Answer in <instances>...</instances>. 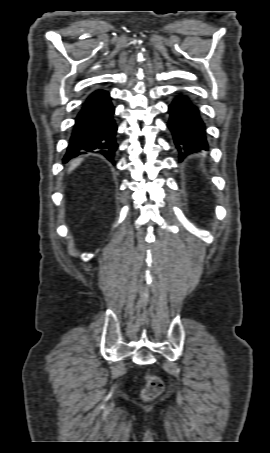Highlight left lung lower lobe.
<instances>
[{"mask_svg": "<svg viewBox=\"0 0 270 453\" xmlns=\"http://www.w3.org/2000/svg\"><path fill=\"white\" fill-rule=\"evenodd\" d=\"M168 127L180 158L192 152L208 150L206 125L198 107L184 95H179L169 106Z\"/></svg>", "mask_w": 270, "mask_h": 453, "instance_id": "1", "label": "left lung lower lobe"}]
</instances>
